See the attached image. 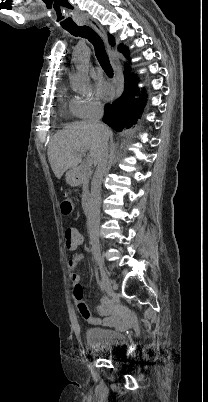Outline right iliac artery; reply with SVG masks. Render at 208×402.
Returning <instances> with one entry per match:
<instances>
[{
	"mask_svg": "<svg viewBox=\"0 0 208 402\" xmlns=\"http://www.w3.org/2000/svg\"><path fill=\"white\" fill-rule=\"evenodd\" d=\"M98 283H99L100 289H101L103 292H106L107 290H106V288H105L103 282H102V281H99Z\"/></svg>",
	"mask_w": 208,
	"mask_h": 402,
	"instance_id": "82829eb1",
	"label": "right iliac artery"
}]
</instances>
